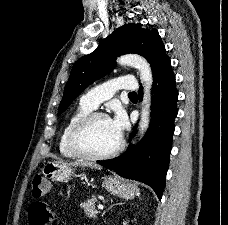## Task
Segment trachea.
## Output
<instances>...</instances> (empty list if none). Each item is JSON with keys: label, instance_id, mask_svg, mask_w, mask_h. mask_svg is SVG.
Listing matches in <instances>:
<instances>
[{"label": "trachea", "instance_id": "trachea-1", "mask_svg": "<svg viewBox=\"0 0 228 225\" xmlns=\"http://www.w3.org/2000/svg\"><path fill=\"white\" fill-rule=\"evenodd\" d=\"M128 95L129 96H136L137 94H136V92H130Z\"/></svg>", "mask_w": 228, "mask_h": 225}]
</instances>
